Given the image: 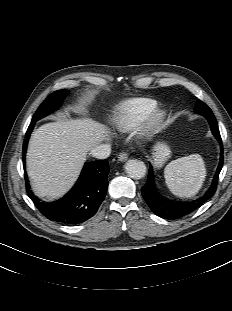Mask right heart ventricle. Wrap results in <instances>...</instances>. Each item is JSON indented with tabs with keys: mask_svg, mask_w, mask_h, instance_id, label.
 <instances>
[{
	"mask_svg": "<svg viewBox=\"0 0 232 311\" xmlns=\"http://www.w3.org/2000/svg\"><path fill=\"white\" fill-rule=\"evenodd\" d=\"M157 100L149 97L131 98L117 108L111 118L113 129L119 132H129L135 129L143 119L157 107Z\"/></svg>",
	"mask_w": 232,
	"mask_h": 311,
	"instance_id": "e07e8e85",
	"label": "right heart ventricle"
}]
</instances>
